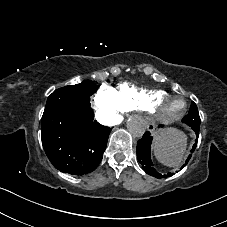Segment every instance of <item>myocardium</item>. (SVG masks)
<instances>
[{
    "label": "myocardium",
    "mask_w": 227,
    "mask_h": 227,
    "mask_svg": "<svg viewBox=\"0 0 227 227\" xmlns=\"http://www.w3.org/2000/svg\"><path fill=\"white\" fill-rule=\"evenodd\" d=\"M165 101L179 102L180 106L171 110H163L162 105ZM187 102L182 96L166 95L152 100L146 107L149 117L160 123H167L178 120L186 111Z\"/></svg>",
    "instance_id": "obj_1"
}]
</instances>
